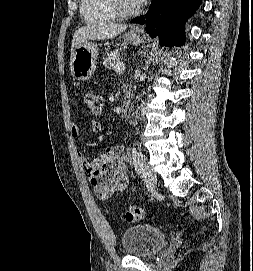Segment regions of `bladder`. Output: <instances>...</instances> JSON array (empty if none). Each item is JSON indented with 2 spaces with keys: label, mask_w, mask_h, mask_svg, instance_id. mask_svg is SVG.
I'll list each match as a JSON object with an SVG mask.
<instances>
[{
  "label": "bladder",
  "mask_w": 253,
  "mask_h": 271,
  "mask_svg": "<svg viewBox=\"0 0 253 271\" xmlns=\"http://www.w3.org/2000/svg\"><path fill=\"white\" fill-rule=\"evenodd\" d=\"M124 252L137 258H149L166 244V234L147 223H140L126 229L121 235Z\"/></svg>",
  "instance_id": "31cf9c89"
}]
</instances>
